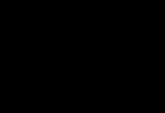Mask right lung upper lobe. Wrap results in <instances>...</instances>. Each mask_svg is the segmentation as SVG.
I'll return each instance as SVG.
<instances>
[{"instance_id":"obj_1","label":"right lung upper lobe","mask_w":165,"mask_h":113,"mask_svg":"<svg viewBox=\"0 0 165 113\" xmlns=\"http://www.w3.org/2000/svg\"><path fill=\"white\" fill-rule=\"evenodd\" d=\"M62 70H63V68H62V67H61V68H57V71H59V72H60V71H62Z\"/></svg>"}]
</instances>
